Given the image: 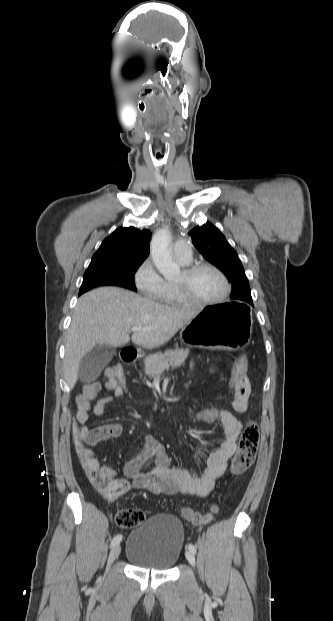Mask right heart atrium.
<instances>
[{
	"instance_id": "d8ad5b80",
	"label": "right heart atrium",
	"mask_w": 333,
	"mask_h": 621,
	"mask_svg": "<svg viewBox=\"0 0 333 621\" xmlns=\"http://www.w3.org/2000/svg\"><path fill=\"white\" fill-rule=\"evenodd\" d=\"M134 280L137 289L151 299H158L164 288V280L150 259L139 266Z\"/></svg>"
}]
</instances>
